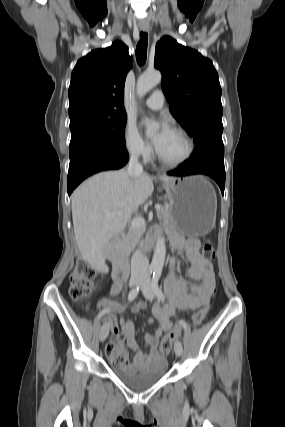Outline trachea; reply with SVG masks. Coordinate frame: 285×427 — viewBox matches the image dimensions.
<instances>
[{
  "instance_id": "obj_1",
  "label": "trachea",
  "mask_w": 285,
  "mask_h": 427,
  "mask_svg": "<svg viewBox=\"0 0 285 427\" xmlns=\"http://www.w3.org/2000/svg\"><path fill=\"white\" fill-rule=\"evenodd\" d=\"M147 37L146 33L141 32L140 41L136 47V59L140 66L145 64L147 58Z\"/></svg>"
}]
</instances>
